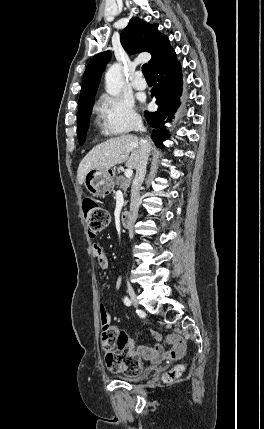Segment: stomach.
I'll use <instances>...</instances> for the list:
<instances>
[{"label": "stomach", "mask_w": 264, "mask_h": 429, "mask_svg": "<svg viewBox=\"0 0 264 429\" xmlns=\"http://www.w3.org/2000/svg\"><path fill=\"white\" fill-rule=\"evenodd\" d=\"M115 172L111 169H93L90 170L84 180L86 189L95 197H105L111 193L114 188Z\"/></svg>", "instance_id": "0dacf381"}]
</instances>
